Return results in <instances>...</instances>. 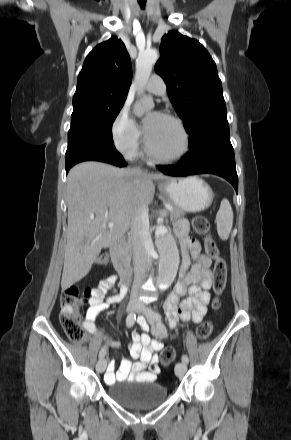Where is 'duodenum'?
<instances>
[{
	"instance_id": "1",
	"label": "duodenum",
	"mask_w": 291,
	"mask_h": 440,
	"mask_svg": "<svg viewBox=\"0 0 291 440\" xmlns=\"http://www.w3.org/2000/svg\"><path fill=\"white\" fill-rule=\"evenodd\" d=\"M125 239L118 237L109 246L112 260L119 271L121 282L127 284L130 279V264L124 251Z\"/></svg>"
}]
</instances>
